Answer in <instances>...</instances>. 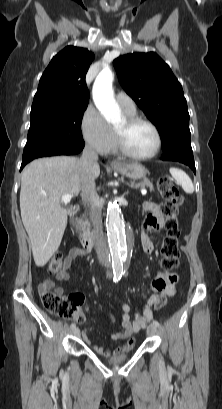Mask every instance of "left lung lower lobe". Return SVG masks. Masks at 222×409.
Listing matches in <instances>:
<instances>
[{
	"mask_svg": "<svg viewBox=\"0 0 222 409\" xmlns=\"http://www.w3.org/2000/svg\"><path fill=\"white\" fill-rule=\"evenodd\" d=\"M162 160L177 161L189 166L196 173L192 148H175L164 151Z\"/></svg>",
	"mask_w": 222,
	"mask_h": 409,
	"instance_id": "left-lung-lower-lobe-1",
	"label": "left lung lower lobe"
}]
</instances>
